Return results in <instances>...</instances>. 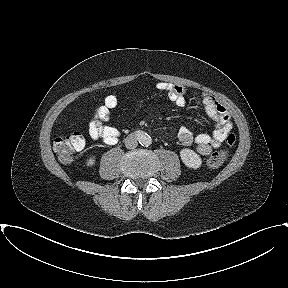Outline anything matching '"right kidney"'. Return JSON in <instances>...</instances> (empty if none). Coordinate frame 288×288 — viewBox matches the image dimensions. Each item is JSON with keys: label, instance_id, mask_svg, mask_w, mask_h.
I'll use <instances>...</instances> for the list:
<instances>
[{"label": "right kidney", "instance_id": "right-kidney-1", "mask_svg": "<svg viewBox=\"0 0 288 288\" xmlns=\"http://www.w3.org/2000/svg\"><path fill=\"white\" fill-rule=\"evenodd\" d=\"M95 164V158L94 157H90L88 160H87V165L88 166H93Z\"/></svg>", "mask_w": 288, "mask_h": 288}]
</instances>
